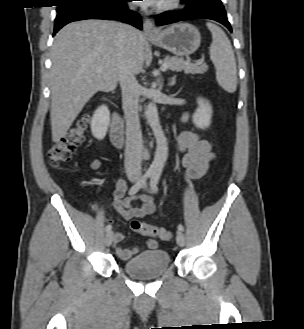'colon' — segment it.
Here are the masks:
<instances>
[{
  "mask_svg": "<svg viewBox=\"0 0 304 329\" xmlns=\"http://www.w3.org/2000/svg\"><path fill=\"white\" fill-rule=\"evenodd\" d=\"M90 117L88 112L84 113L69 131L51 146L49 160L53 167H59L70 162L77 148L85 139ZM131 228L134 232L146 237L157 238L163 241H168L172 238L171 230L137 219L131 221Z\"/></svg>",
  "mask_w": 304,
  "mask_h": 329,
  "instance_id": "1",
  "label": "colon"
}]
</instances>
